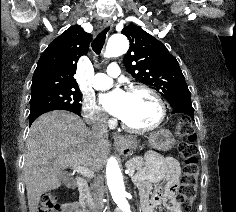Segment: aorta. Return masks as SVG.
<instances>
[{
    "mask_svg": "<svg viewBox=\"0 0 236 212\" xmlns=\"http://www.w3.org/2000/svg\"><path fill=\"white\" fill-rule=\"evenodd\" d=\"M128 48L129 42L125 35H112L108 40L104 57H118L125 54ZM106 176L108 188L119 211L131 212V206L127 199L123 176L118 162L114 157H111L107 162Z\"/></svg>",
    "mask_w": 236,
    "mask_h": 212,
    "instance_id": "762f6f07",
    "label": "aorta"
}]
</instances>
